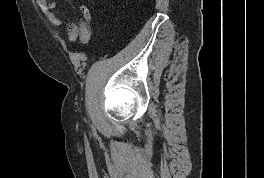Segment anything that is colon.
Instances as JSON below:
<instances>
[{"mask_svg":"<svg viewBox=\"0 0 264 178\" xmlns=\"http://www.w3.org/2000/svg\"><path fill=\"white\" fill-rule=\"evenodd\" d=\"M81 14V21L77 31L69 33V40L71 42L79 41L81 43H87L91 35V10L85 3H81L79 6Z\"/></svg>","mask_w":264,"mask_h":178,"instance_id":"1","label":"colon"}]
</instances>
